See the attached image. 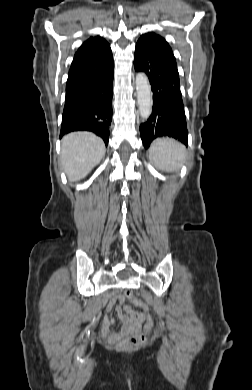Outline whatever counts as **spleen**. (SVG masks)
I'll use <instances>...</instances> for the list:
<instances>
[{
	"label": "spleen",
	"instance_id": "1",
	"mask_svg": "<svg viewBox=\"0 0 252 390\" xmlns=\"http://www.w3.org/2000/svg\"><path fill=\"white\" fill-rule=\"evenodd\" d=\"M185 153L182 144L169 138H159L152 144L150 158L159 168L174 171L180 167Z\"/></svg>",
	"mask_w": 252,
	"mask_h": 390
}]
</instances>
